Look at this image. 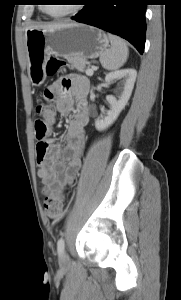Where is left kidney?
Here are the masks:
<instances>
[{
    "label": "left kidney",
    "mask_w": 181,
    "mask_h": 300,
    "mask_svg": "<svg viewBox=\"0 0 181 300\" xmlns=\"http://www.w3.org/2000/svg\"><path fill=\"white\" fill-rule=\"evenodd\" d=\"M136 76L137 72L135 69H122L106 75L105 82L107 84H110L115 80H120L122 87L118 99L113 95L106 96L110 109L106 111V115L100 116L95 121V127L98 131L105 130L111 126L119 116L120 112L124 109L131 96Z\"/></svg>",
    "instance_id": "1"
}]
</instances>
